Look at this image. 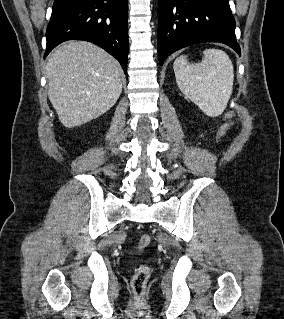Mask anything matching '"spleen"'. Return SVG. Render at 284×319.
<instances>
[{"label": "spleen", "mask_w": 284, "mask_h": 319, "mask_svg": "<svg viewBox=\"0 0 284 319\" xmlns=\"http://www.w3.org/2000/svg\"><path fill=\"white\" fill-rule=\"evenodd\" d=\"M173 69L181 92L206 115L217 117L223 113L234 82V67L224 51L206 49L202 61L194 64L182 55L174 61Z\"/></svg>", "instance_id": "3e777b00"}]
</instances>
